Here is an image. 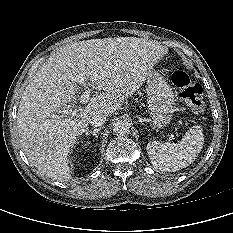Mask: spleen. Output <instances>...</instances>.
Wrapping results in <instances>:
<instances>
[{
	"label": "spleen",
	"mask_w": 233,
	"mask_h": 233,
	"mask_svg": "<svg viewBox=\"0 0 233 233\" xmlns=\"http://www.w3.org/2000/svg\"><path fill=\"white\" fill-rule=\"evenodd\" d=\"M204 144L201 126L191 127L179 143L153 141L147 144V153L152 165L160 171L175 172L195 161Z\"/></svg>",
	"instance_id": "3e777b00"
}]
</instances>
